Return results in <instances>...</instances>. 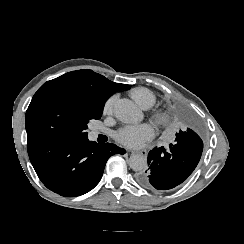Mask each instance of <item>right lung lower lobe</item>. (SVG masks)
Returning a JSON list of instances; mask_svg holds the SVG:
<instances>
[{
	"label": "right lung lower lobe",
	"instance_id": "1",
	"mask_svg": "<svg viewBox=\"0 0 244 244\" xmlns=\"http://www.w3.org/2000/svg\"><path fill=\"white\" fill-rule=\"evenodd\" d=\"M30 161L43 184L66 197L79 196L100 181L113 154L126 151L115 144L98 145L84 138L34 134L27 136Z\"/></svg>",
	"mask_w": 244,
	"mask_h": 244
}]
</instances>
